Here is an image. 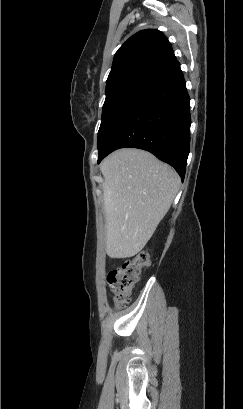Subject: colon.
<instances>
[{
    "instance_id": "5ec220e1",
    "label": "colon",
    "mask_w": 243,
    "mask_h": 409,
    "mask_svg": "<svg viewBox=\"0 0 243 409\" xmlns=\"http://www.w3.org/2000/svg\"><path fill=\"white\" fill-rule=\"evenodd\" d=\"M150 265L148 250H142L128 259L119 268H114L108 275V283L113 293V301L117 308L128 305L133 289L139 281L141 271Z\"/></svg>"
}]
</instances>
